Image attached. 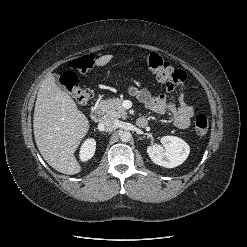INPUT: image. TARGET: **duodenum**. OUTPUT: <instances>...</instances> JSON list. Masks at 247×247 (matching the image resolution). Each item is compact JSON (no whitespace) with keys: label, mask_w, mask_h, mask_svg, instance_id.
Masks as SVG:
<instances>
[{"label":"duodenum","mask_w":247,"mask_h":247,"mask_svg":"<svg viewBox=\"0 0 247 247\" xmlns=\"http://www.w3.org/2000/svg\"><path fill=\"white\" fill-rule=\"evenodd\" d=\"M104 117V110L101 106H96L94 107V109L92 110L91 112V119L94 121V122H100ZM137 124L139 127H146L148 125V121L145 119V118H139L137 120Z\"/></svg>","instance_id":"1"}]
</instances>
